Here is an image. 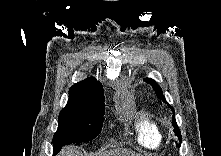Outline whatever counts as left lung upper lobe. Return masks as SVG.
Returning <instances> with one entry per match:
<instances>
[{"label":"left lung upper lobe","instance_id":"left-lung-upper-lobe-1","mask_svg":"<svg viewBox=\"0 0 221 156\" xmlns=\"http://www.w3.org/2000/svg\"><path fill=\"white\" fill-rule=\"evenodd\" d=\"M145 81H146L147 83H149V84L153 87V89H154V91L156 92V94L158 95V97H159L163 102L167 103V102H166V99H165V97H164V95H163L162 89H161V87L157 84V82L154 81L153 79H150V78H146ZM168 106H169L170 109L174 112L173 107H172L170 104H168Z\"/></svg>","mask_w":221,"mask_h":156}]
</instances>
